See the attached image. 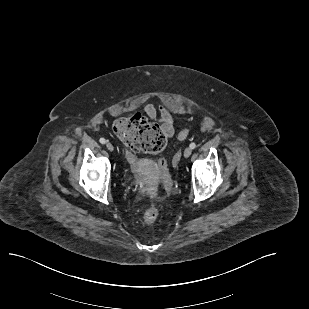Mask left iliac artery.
Returning <instances> with one entry per match:
<instances>
[{
    "mask_svg": "<svg viewBox=\"0 0 309 309\" xmlns=\"http://www.w3.org/2000/svg\"><path fill=\"white\" fill-rule=\"evenodd\" d=\"M190 148H191V149H195V148H196V144H195L194 142L191 143V144H190Z\"/></svg>",
    "mask_w": 309,
    "mask_h": 309,
    "instance_id": "obj_1",
    "label": "left iliac artery"
}]
</instances>
